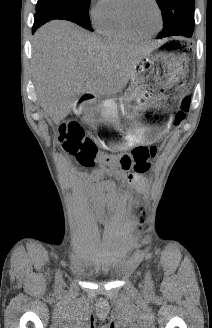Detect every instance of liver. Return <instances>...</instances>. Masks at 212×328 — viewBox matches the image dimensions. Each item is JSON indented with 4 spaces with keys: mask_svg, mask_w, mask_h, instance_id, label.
Instances as JSON below:
<instances>
[{
    "mask_svg": "<svg viewBox=\"0 0 212 328\" xmlns=\"http://www.w3.org/2000/svg\"><path fill=\"white\" fill-rule=\"evenodd\" d=\"M150 50L105 40L68 21H51L34 35L39 101L58 124L83 93L114 95Z\"/></svg>",
    "mask_w": 212,
    "mask_h": 328,
    "instance_id": "obj_1",
    "label": "liver"
}]
</instances>
